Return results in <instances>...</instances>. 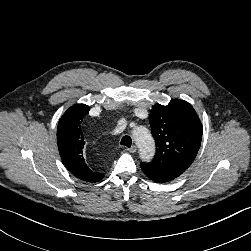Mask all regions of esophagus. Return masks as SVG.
<instances>
[{
	"label": "esophagus",
	"instance_id": "esophagus-1",
	"mask_svg": "<svg viewBox=\"0 0 251 251\" xmlns=\"http://www.w3.org/2000/svg\"><path fill=\"white\" fill-rule=\"evenodd\" d=\"M129 152L131 153H135L137 151V146L136 145H133L131 146L130 148L127 149Z\"/></svg>",
	"mask_w": 251,
	"mask_h": 251
}]
</instances>
